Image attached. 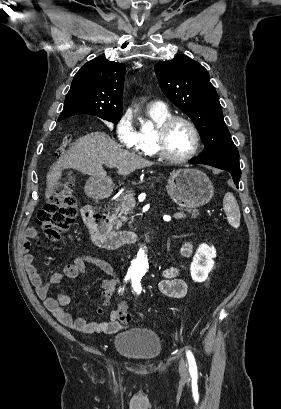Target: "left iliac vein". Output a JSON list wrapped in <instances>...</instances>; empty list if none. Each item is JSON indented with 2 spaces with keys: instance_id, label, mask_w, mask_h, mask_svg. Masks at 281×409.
I'll return each mask as SVG.
<instances>
[{
  "instance_id": "obj_1",
  "label": "left iliac vein",
  "mask_w": 281,
  "mask_h": 409,
  "mask_svg": "<svg viewBox=\"0 0 281 409\" xmlns=\"http://www.w3.org/2000/svg\"><path fill=\"white\" fill-rule=\"evenodd\" d=\"M179 371L183 377L188 376L187 364L183 358H180V361H179Z\"/></svg>"
}]
</instances>
